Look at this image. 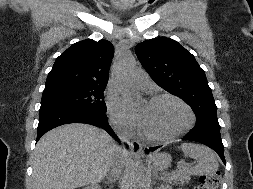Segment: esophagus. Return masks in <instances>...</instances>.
I'll use <instances>...</instances> for the list:
<instances>
[{
	"mask_svg": "<svg viewBox=\"0 0 253 189\" xmlns=\"http://www.w3.org/2000/svg\"><path fill=\"white\" fill-rule=\"evenodd\" d=\"M131 151L134 155L142 153V145L138 140H133L131 142Z\"/></svg>",
	"mask_w": 253,
	"mask_h": 189,
	"instance_id": "esophagus-1",
	"label": "esophagus"
}]
</instances>
